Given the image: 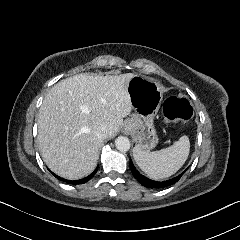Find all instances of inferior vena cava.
I'll use <instances>...</instances> for the list:
<instances>
[{
    "mask_svg": "<svg viewBox=\"0 0 240 240\" xmlns=\"http://www.w3.org/2000/svg\"><path fill=\"white\" fill-rule=\"evenodd\" d=\"M96 135L100 139H106L108 137V129L105 126H101L96 131Z\"/></svg>",
    "mask_w": 240,
    "mask_h": 240,
    "instance_id": "obj_1",
    "label": "inferior vena cava"
}]
</instances>
